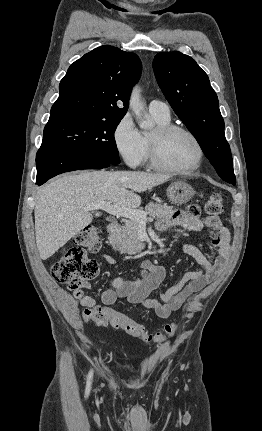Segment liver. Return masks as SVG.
I'll return each mask as SVG.
<instances>
[{
	"instance_id": "6515ba94",
	"label": "liver",
	"mask_w": 262,
	"mask_h": 431,
	"mask_svg": "<svg viewBox=\"0 0 262 431\" xmlns=\"http://www.w3.org/2000/svg\"><path fill=\"white\" fill-rule=\"evenodd\" d=\"M170 176L139 171H80L64 174L38 189L35 235L39 255L51 257L100 212L85 211L88 204L106 201L136 209L141 197L135 192L166 182Z\"/></svg>"
}]
</instances>
